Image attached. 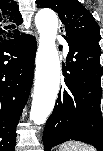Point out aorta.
<instances>
[{"label":"aorta","mask_w":103,"mask_h":151,"mask_svg":"<svg viewBox=\"0 0 103 151\" xmlns=\"http://www.w3.org/2000/svg\"><path fill=\"white\" fill-rule=\"evenodd\" d=\"M39 32L36 72L30 120L43 124L51 114L59 92L60 60L56 48L58 17L50 9H42L35 16Z\"/></svg>","instance_id":"1"}]
</instances>
